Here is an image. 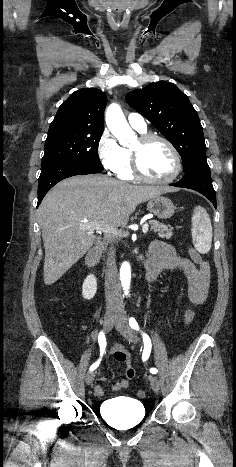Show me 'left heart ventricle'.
<instances>
[{
  "label": "left heart ventricle",
  "instance_id": "1",
  "mask_svg": "<svg viewBox=\"0 0 236 467\" xmlns=\"http://www.w3.org/2000/svg\"><path fill=\"white\" fill-rule=\"evenodd\" d=\"M133 148L140 152L141 168L148 176L163 179L174 172V157L164 143L154 141L146 147H141L138 140Z\"/></svg>",
  "mask_w": 236,
  "mask_h": 467
}]
</instances>
